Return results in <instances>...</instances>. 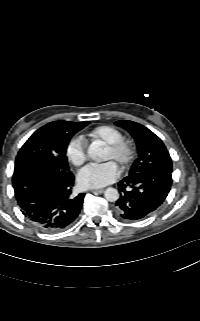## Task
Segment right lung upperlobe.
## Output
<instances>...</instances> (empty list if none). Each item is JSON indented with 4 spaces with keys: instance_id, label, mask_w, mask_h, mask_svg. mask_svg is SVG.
Returning <instances> with one entry per match:
<instances>
[{
    "instance_id": "1",
    "label": "right lung upper lobe",
    "mask_w": 200,
    "mask_h": 321,
    "mask_svg": "<svg viewBox=\"0 0 200 321\" xmlns=\"http://www.w3.org/2000/svg\"><path fill=\"white\" fill-rule=\"evenodd\" d=\"M68 122H70V121H54V122H52V123L55 124V125H65V124H67Z\"/></svg>"
}]
</instances>
